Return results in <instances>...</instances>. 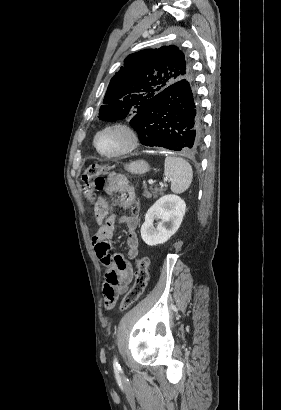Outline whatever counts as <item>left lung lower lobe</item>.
Instances as JSON below:
<instances>
[{"label":"left lung lower lobe","instance_id":"obj_1","mask_svg":"<svg viewBox=\"0 0 281 410\" xmlns=\"http://www.w3.org/2000/svg\"><path fill=\"white\" fill-rule=\"evenodd\" d=\"M130 124L145 146L196 151L202 144L203 122L193 78L177 81L152 97Z\"/></svg>","mask_w":281,"mask_h":410}]
</instances>
